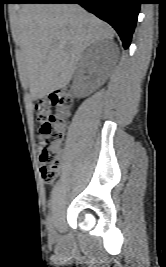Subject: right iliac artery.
Wrapping results in <instances>:
<instances>
[{
	"label": "right iliac artery",
	"instance_id": "obj_1",
	"mask_svg": "<svg viewBox=\"0 0 166 267\" xmlns=\"http://www.w3.org/2000/svg\"><path fill=\"white\" fill-rule=\"evenodd\" d=\"M46 225H47V229H48V230H51V229H52V225H53V217H52L51 215H49V216L47 217Z\"/></svg>",
	"mask_w": 166,
	"mask_h": 267
}]
</instances>
